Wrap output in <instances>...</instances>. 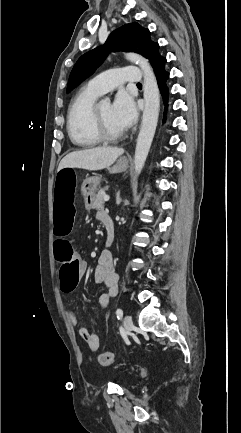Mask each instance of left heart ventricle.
Wrapping results in <instances>:
<instances>
[{
  "label": "left heart ventricle",
  "instance_id": "left-heart-ventricle-1",
  "mask_svg": "<svg viewBox=\"0 0 241 433\" xmlns=\"http://www.w3.org/2000/svg\"><path fill=\"white\" fill-rule=\"evenodd\" d=\"M98 110L105 128L110 133L117 134L123 132L113 118L112 107L109 103L100 104Z\"/></svg>",
  "mask_w": 241,
  "mask_h": 433
}]
</instances>
